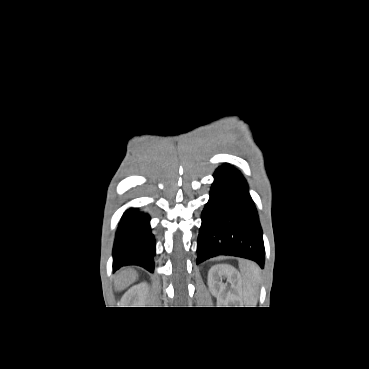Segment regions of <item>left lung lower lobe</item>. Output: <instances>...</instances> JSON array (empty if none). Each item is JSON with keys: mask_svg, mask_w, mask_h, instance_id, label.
<instances>
[{"mask_svg": "<svg viewBox=\"0 0 369 369\" xmlns=\"http://www.w3.org/2000/svg\"><path fill=\"white\" fill-rule=\"evenodd\" d=\"M210 199L202 215L197 264L218 255H233L264 265L262 228L242 174L224 165L214 173Z\"/></svg>", "mask_w": 369, "mask_h": 369, "instance_id": "left-lung-lower-lobe-1", "label": "left lung lower lobe"}]
</instances>
